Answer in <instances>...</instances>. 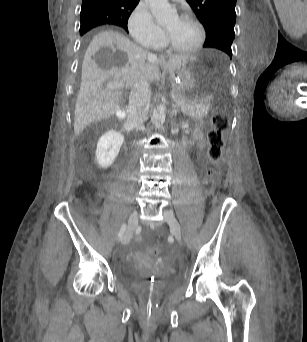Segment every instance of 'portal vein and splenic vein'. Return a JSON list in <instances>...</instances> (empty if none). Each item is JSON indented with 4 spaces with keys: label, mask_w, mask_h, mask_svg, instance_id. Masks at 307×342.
<instances>
[{
    "label": "portal vein and splenic vein",
    "mask_w": 307,
    "mask_h": 342,
    "mask_svg": "<svg viewBox=\"0 0 307 342\" xmlns=\"http://www.w3.org/2000/svg\"><path fill=\"white\" fill-rule=\"evenodd\" d=\"M107 88H124L123 82H108ZM178 108L180 107L179 105L177 106ZM183 109L188 107L187 105L185 106L184 104L181 106Z\"/></svg>",
    "instance_id": "1"
}]
</instances>
